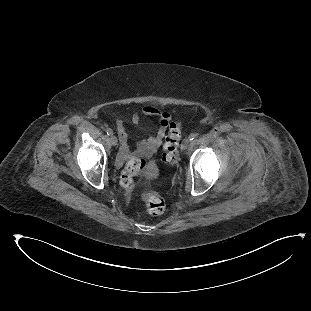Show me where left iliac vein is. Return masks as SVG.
Returning a JSON list of instances; mask_svg holds the SVG:
<instances>
[{
	"mask_svg": "<svg viewBox=\"0 0 311 311\" xmlns=\"http://www.w3.org/2000/svg\"><path fill=\"white\" fill-rule=\"evenodd\" d=\"M190 145V139L188 138H185L183 141H182V144H181V148L183 150H186Z\"/></svg>",
	"mask_w": 311,
	"mask_h": 311,
	"instance_id": "1",
	"label": "left iliac vein"
}]
</instances>
